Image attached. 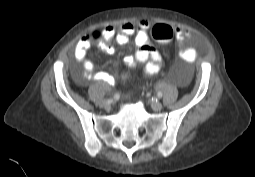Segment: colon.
I'll return each mask as SVG.
<instances>
[{"label": "colon", "instance_id": "obj_1", "mask_svg": "<svg viewBox=\"0 0 255 177\" xmlns=\"http://www.w3.org/2000/svg\"><path fill=\"white\" fill-rule=\"evenodd\" d=\"M153 38L160 43L169 42L174 36V30L168 23H159L152 28ZM92 39H96L97 36L92 34Z\"/></svg>", "mask_w": 255, "mask_h": 177}]
</instances>
